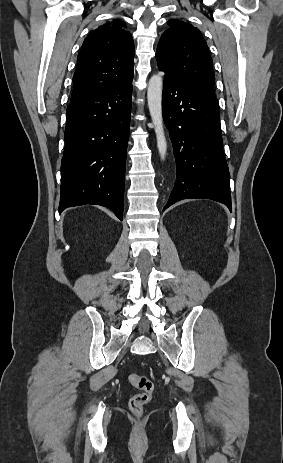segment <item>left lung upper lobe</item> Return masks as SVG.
Returning <instances> with one entry per match:
<instances>
[{
	"label": "left lung upper lobe",
	"mask_w": 283,
	"mask_h": 463,
	"mask_svg": "<svg viewBox=\"0 0 283 463\" xmlns=\"http://www.w3.org/2000/svg\"><path fill=\"white\" fill-rule=\"evenodd\" d=\"M161 36L158 67L200 97L219 105L214 94L212 58L201 32L180 20H169Z\"/></svg>",
	"instance_id": "5c2ea615"
}]
</instances>
